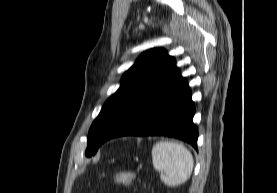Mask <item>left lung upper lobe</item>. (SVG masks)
Instances as JSON below:
<instances>
[{"mask_svg": "<svg viewBox=\"0 0 277 193\" xmlns=\"http://www.w3.org/2000/svg\"><path fill=\"white\" fill-rule=\"evenodd\" d=\"M178 71L175 59L164 49L154 48L144 52L124 73L120 88L106 101L93 122L85 155H95L105 133L129 106Z\"/></svg>", "mask_w": 277, "mask_h": 193, "instance_id": "left-lung-upper-lobe-1", "label": "left lung upper lobe"}]
</instances>
